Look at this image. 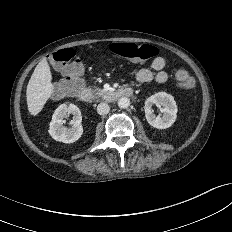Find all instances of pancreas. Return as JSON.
<instances>
[{
  "label": "pancreas",
  "mask_w": 232,
  "mask_h": 232,
  "mask_svg": "<svg viewBox=\"0 0 232 232\" xmlns=\"http://www.w3.org/2000/svg\"><path fill=\"white\" fill-rule=\"evenodd\" d=\"M93 93H94V95L97 96V97H102V96H104V95L107 94V92H106L105 90L100 89V88H98V87H95V89L93 90Z\"/></svg>",
  "instance_id": "pancreas-1"
}]
</instances>
